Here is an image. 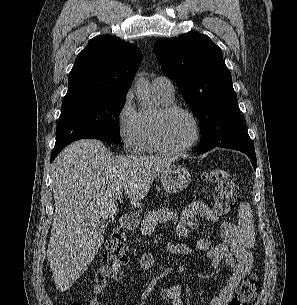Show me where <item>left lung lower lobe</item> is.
<instances>
[{
    "instance_id": "0a47b994",
    "label": "left lung lower lobe",
    "mask_w": 297,
    "mask_h": 305,
    "mask_svg": "<svg viewBox=\"0 0 297 305\" xmlns=\"http://www.w3.org/2000/svg\"><path fill=\"white\" fill-rule=\"evenodd\" d=\"M214 147H223V148H228V149H234V150H238V151L245 153L250 158L253 168L256 170L257 160H256L254 145H253V142L251 141L249 135L245 131L237 133V134L223 140L222 142H220L219 144H217L215 146L210 145V146H206L203 149H199L198 154L205 153L206 151H209Z\"/></svg>"
}]
</instances>
